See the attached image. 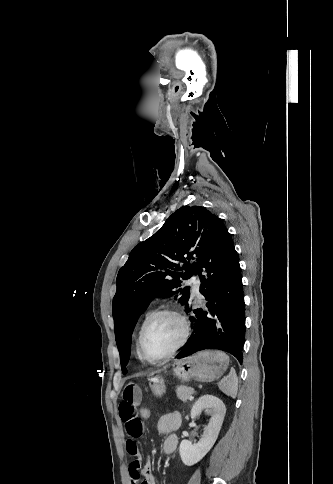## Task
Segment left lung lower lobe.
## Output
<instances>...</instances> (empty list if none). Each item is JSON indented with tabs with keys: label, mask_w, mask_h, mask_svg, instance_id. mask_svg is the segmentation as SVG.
<instances>
[{
	"label": "left lung lower lobe",
	"mask_w": 333,
	"mask_h": 484,
	"mask_svg": "<svg viewBox=\"0 0 333 484\" xmlns=\"http://www.w3.org/2000/svg\"><path fill=\"white\" fill-rule=\"evenodd\" d=\"M201 273L200 293L207 301L206 308L186 305L194 331L176 358L213 348L231 353L242 363L245 303L241 270L231 236L217 217L195 260L192 275Z\"/></svg>",
	"instance_id": "1"
}]
</instances>
